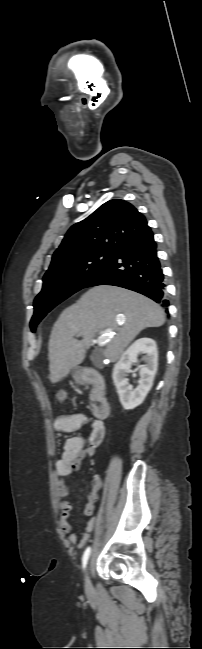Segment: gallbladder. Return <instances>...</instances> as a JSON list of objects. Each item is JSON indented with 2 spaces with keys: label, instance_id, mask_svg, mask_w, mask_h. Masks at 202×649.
Instances as JSON below:
<instances>
[{
  "label": "gallbladder",
  "instance_id": "gallbladder-1",
  "mask_svg": "<svg viewBox=\"0 0 202 649\" xmlns=\"http://www.w3.org/2000/svg\"><path fill=\"white\" fill-rule=\"evenodd\" d=\"M96 359H97V356H96L95 354H93V355L91 356V360L94 361V360H96Z\"/></svg>",
  "mask_w": 202,
  "mask_h": 649
}]
</instances>
